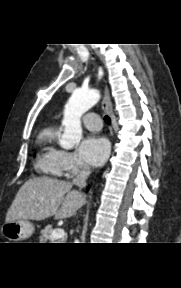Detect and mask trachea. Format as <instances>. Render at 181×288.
Returning a JSON list of instances; mask_svg holds the SVG:
<instances>
[{
    "mask_svg": "<svg viewBox=\"0 0 181 288\" xmlns=\"http://www.w3.org/2000/svg\"><path fill=\"white\" fill-rule=\"evenodd\" d=\"M104 121H105L108 125L111 124V119H110V117L107 116V115L104 117Z\"/></svg>",
    "mask_w": 181,
    "mask_h": 288,
    "instance_id": "obj_1",
    "label": "trachea"
}]
</instances>
